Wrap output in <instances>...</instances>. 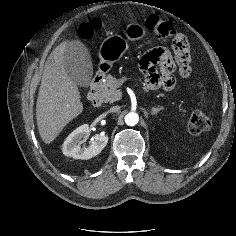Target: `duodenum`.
<instances>
[{
	"label": "duodenum",
	"instance_id": "410a0bca",
	"mask_svg": "<svg viewBox=\"0 0 236 236\" xmlns=\"http://www.w3.org/2000/svg\"><path fill=\"white\" fill-rule=\"evenodd\" d=\"M102 78H103L102 74H98L93 78L90 89H89V93H88L89 101L95 107L101 104V96H100L98 87L101 84Z\"/></svg>",
	"mask_w": 236,
	"mask_h": 236
}]
</instances>
